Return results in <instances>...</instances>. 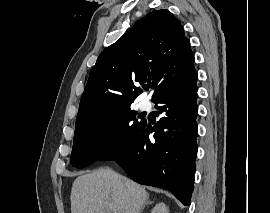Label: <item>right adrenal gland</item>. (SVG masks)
<instances>
[{
	"label": "right adrenal gland",
	"instance_id": "2a0ac1e0",
	"mask_svg": "<svg viewBox=\"0 0 270 213\" xmlns=\"http://www.w3.org/2000/svg\"><path fill=\"white\" fill-rule=\"evenodd\" d=\"M152 203H153L152 201H147V202L145 203V205L142 207L141 210H143V209L145 208V206H147V205H149V204H152Z\"/></svg>",
	"mask_w": 270,
	"mask_h": 213
}]
</instances>
